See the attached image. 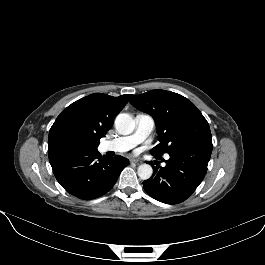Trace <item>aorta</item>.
<instances>
[{"label": "aorta", "mask_w": 265, "mask_h": 265, "mask_svg": "<svg viewBox=\"0 0 265 265\" xmlns=\"http://www.w3.org/2000/svg\"><path fill=\"white\" fill-rule=\"evenodd\" d=\"M115 128L122 135H129L135 129V121L130 114L121 113L115 119ZM138 176L143 179H149L153 174V169L149 164H142L138 167Z\"/></svg>", "instance_id": "1"}]
</instances>
